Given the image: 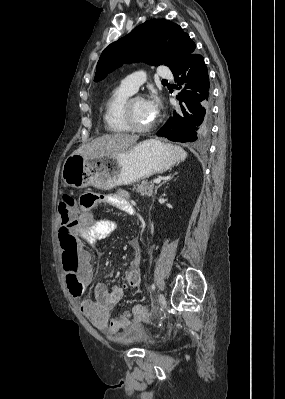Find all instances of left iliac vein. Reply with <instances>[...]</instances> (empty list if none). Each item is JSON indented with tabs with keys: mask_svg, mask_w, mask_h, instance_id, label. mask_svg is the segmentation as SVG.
Segmentation results:
<instances>
[{
	"mask_svg": "<svg viewBox=\"0 0 285 399\" xmlns=\"http://www.w3.org/2000/svg\"><path fill=\"white\" fill-rule=\"evenodd\" d=\"M158 304L159 305H165L166 304V299H165V296L163 294L159 295Z\"/></svg>",
	"mask_w": 285,
	"mask_h": 399,
	"instance_id": "1",
	"label": "left iliac vein"
}]
</instances>
